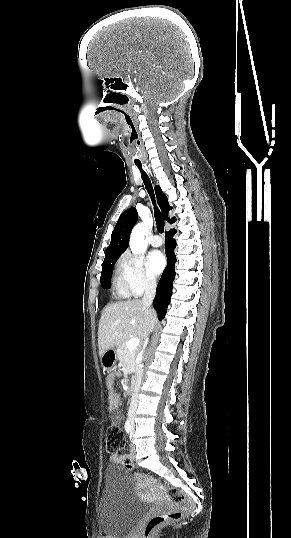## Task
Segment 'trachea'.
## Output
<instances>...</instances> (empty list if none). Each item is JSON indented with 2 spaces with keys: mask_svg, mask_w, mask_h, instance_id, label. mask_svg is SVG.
Wrapping results in <instances>:
<instances>
[{
  "mask_svg": "<svg viewBox=\"0 0 291 538\" xmlns=\"http://www.w3.org/2000/svg\"><path fill=\"white\" fill-rule=\"evenodd\" d=\"M136 166L138 167V169L140 170L141 172V177H142V180H143V183L145 184V187H146V190L148 191L149 195H150V198L152 200V203L154 205V214H155V220H156V225H157V229L160 233H163L164 232V219L159 211V209L157 208L156 206V202H155V197H154V192H153V187H152V184H151V181L148 177V175L145 173V171L142 169V165L141 164H136Z\"/></svg>",
  "mask_w": 291,
  "mask_h": 538,
  "instance_id": "trachea-1",
  "label": "trachea"
}]
</instances>
